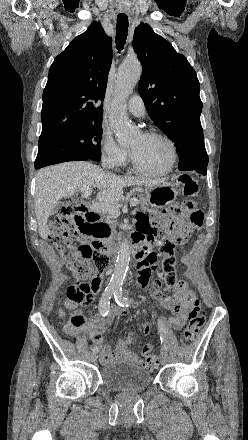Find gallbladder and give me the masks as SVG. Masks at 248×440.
Returning <instances> with one entry per match:
<instances>
[{
    "label": "gallbladder",
    "instance_id": "1",
    "mask_svg": "<svg viewBox=\"0 0 248 440\" xmlns=\"http://www.w3.org/2000/svg\"><path fill=\"white\" fill-rule=\"evenodd\" d=\"M62 205H63V203H57L55 205V207L53 208L52 213H55L56 211H58Z\"/></svg>",
    "mask_w": 248,
    "mask_h": 440
}]
</instances>
